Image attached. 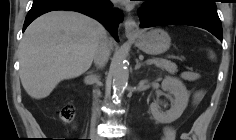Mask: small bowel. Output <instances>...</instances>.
I'll return each instance as SVG.
<instances>
[{
    "instance_id": "small-bowel-1",
    "label": "small bowel",
    "mask_w": 236,
    "mask_h": 140,
    "mask_svg": "<svg viewBox=\"0 0 236 140\" xmlns=\"http://www.w3.org/2000/svg\"><path fill=\"white\" fill-rule=\"evenodd\" d=\"M182 77L187 81H195L199 78V75L192 71H185L182 73ZM202 96V91L195 93L193 102L196 103ZM162 140H175V129L173 127H166L164 129Z\"/></svg>"
}]
</instances>
